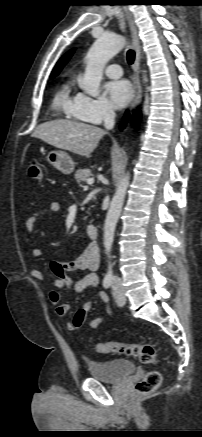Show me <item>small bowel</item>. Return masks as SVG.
I'll use <instances>...</instances> for the list:
<instances>
[{
  "instance_id": "obj_1",
  "label": "small bowel",
  "mask_w": 202,
  "mask_h": 437,
  "mask_svg": "<svg viewBox=\"0 0 202 437\" xmlns=\"http://www.w3.org/2000/svg\"><path fill=\"white\" fill-rule=\"evenodd\" d=\"M59 209L60 204L57 201H52L44 208L35 211L25 222L27 232L31 233L33 231L35 224L42 216L55 213L59 211ZM32 255L35 258H38L42 255V251L39 248H34L32 250ZM98 268L99 251L95 244H90L82 254L72 261H53L51 263V271L54 274V286L57 289H71L77 293L87 288L95 289L99 283L96 274ZM70 272H84L85 275L81 279L73 282L69 276ZM30 274L38 281H43L45 278L44 273L37 268H33L30 271ZM49 296L51 302L55 306L56 315L59 318L66 320L70 312V305L61 302V296L56 290L50 291ZM98 297L106 304L107 313L111 314V308L108 304V296L104 292L99 291ZM92 305L93 299L86 300L76 312L75 316L72 319L67 320V328L71 331L80 329L90 313ZM102 322L103 317L96 316L91 320L90 327L92 329H99Z\"/></svg>"
}]
</instances>
